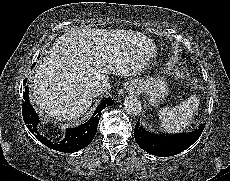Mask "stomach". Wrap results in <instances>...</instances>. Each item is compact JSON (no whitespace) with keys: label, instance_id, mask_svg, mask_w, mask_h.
<instances>
[{"label":"stomach","instance_id":"0dacf381","mask_svg":"<svg viewBox=\"0 0 230 181\" xmlns=\"http://www.w3.org/2000/svg\"><path fill=\"white\" fill-rule=\"evenodd\" d=\"M142 90L150 97L149 103L156 105L168 94V84L164 77H152L143 81Z\"/></svg>","mask_w":230,"mask_h":181}]
</instances>
